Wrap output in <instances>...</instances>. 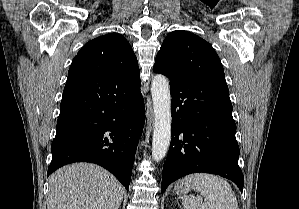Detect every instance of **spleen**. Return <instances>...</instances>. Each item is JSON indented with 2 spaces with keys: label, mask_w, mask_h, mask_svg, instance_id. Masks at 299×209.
<instances>
[{
  "label": "spleen",
  "mask_w": 299,
  "mask_h": 209,
  "mask_svg": "<svg viewBox=\"0 0 299 209\" xmlns=\"http://www.w3.org/2000/svg\"><path fill=\"white\" fill-rule=\"evenodd\" d=\"M183 183L199 192L206 200L202 203L200 198L184 196L182 199L184 209H239L235 193L229 183L216 175L190 174L184 178Z\"/></svg>",
  "instance_id": "1"
}]
</instances>
